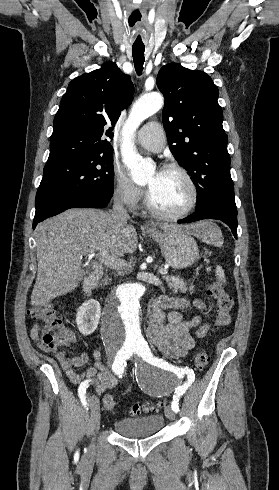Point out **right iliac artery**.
Segmentation results:
<instances>
[{
    "label": "right iliac artery",
    "instance_id": "obj_1",
    "mask_svg": "<svg viewBox=\"0 0 279 490\" xmlns=\"http://www.w3.org/2000/svg\"><path fill=\"white\" fill-rule=\"evenodd\" d=\"M110 358L113 371L120 374L123 372L125 361H128L129 359V354L128 352H112ZM86 380L91 381L92 379L87 378ZM88 385L89 384L87 382L83 381L78 391L81 402L85 407L87 405L85 393L88 389Z\"/></svg>",
    "mask_w": 279,
    "mask_h": 490
}]
</instances>
